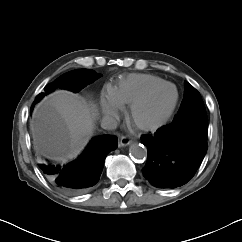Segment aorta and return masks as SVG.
Returning a JSON list of instances; mask_svg holds the SVG:
<instances>
[{
  "instance_id": "762f6f07",
  "label": "aorta",
  "mask_w": 242,
  "mask_h": 242,
  "mask_svg": "<svg viewBox=\"0 0 242 242\" xmlns=\"http://www.w3.org/2000/svg\"><path fill=\"white\" fill-rule=\"evenodd\" d=\"M129 151H130L131 157L135 159L142 160L147 157V149L142 144H138V143L131 144Z\"/></svg>"
}]
</instances>
